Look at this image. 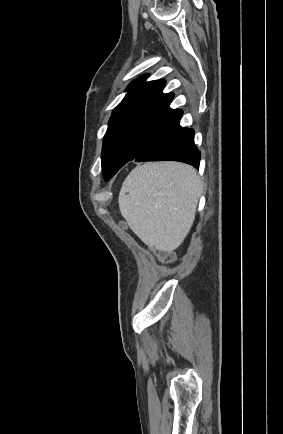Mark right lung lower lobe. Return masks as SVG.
Instances as JSON below:
<instances>
[{"label":"right lung lower lobe","mask_w":283,"mask_h":434,"mask_svg":"<svg viewBox=\"0 0 283 434\" xmlns=\"http://www.w3.org/2000/svg\"><path fill=\"white\" fill-rule=\"evenodd\" d=\"M134 160L137 162L173 160L198 167L200 152L194 144V130L181 127L177 121L147 145Z\"/></svg>","instance_id":"98d812e1"}]
</instances>
